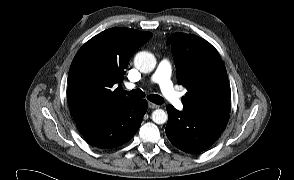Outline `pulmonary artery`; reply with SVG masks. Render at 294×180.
<instances>
[{
	"instance_id": "e3ab8cb5",
	"label": "pulmonary artery",
	"mask_w": 294,
	"mask_h": 180,
	"mask_svg": "<svg viewBox=\"0 0 294 180\" xmlns=\"http://www.w3.org/2000/svg\"><path fill=\"white\" fill-rule=\"evenodd\" d=\"M171 65L169 61L162 60L159 62L154 74L152 75V81L160 86V89L164 96L170 101V103L179 111L184 108L183 101L173 87L171 81ZM126 88L132 90L135 88L134 84H127Z\"/></svg>"
}]
</instances>
